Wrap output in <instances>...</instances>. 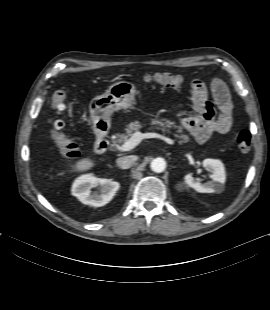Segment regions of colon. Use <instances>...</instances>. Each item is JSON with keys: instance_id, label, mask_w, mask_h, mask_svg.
<instances>
[{"instance_id": "1", "label": "colon", "mask_w": 270, "mask_h": 310, "mask_svg": "<svg viewBox=\"0 0 270 310\" xmlns=\"http://www.w3.org/2000/svg\"><path fill=\"white\" fill-rule=\"evenodd\" d=\"M147 82H153L165 87L178 88L183 84V77L169 72H159L145 76ZM68 93L65 90H57L51 99V110L57 114L64 111ZM205 107L208 111H213L211 103H206ZM51 136L58 146L60 153L65 159L77 158L80 154V147L75 138L67 136L64 129V122L61 119H50ZM236 144L239 151L248 154L251 149V135L248 131H241L236 136Z\"/></svg>"}]
</instances>
